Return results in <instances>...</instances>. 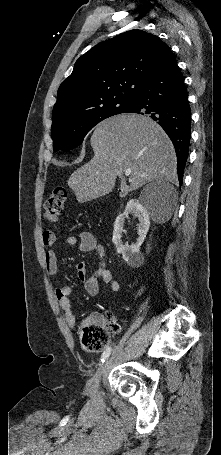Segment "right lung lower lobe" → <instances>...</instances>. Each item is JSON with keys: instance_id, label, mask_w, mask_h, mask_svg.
I'll return each mask as SVG.
<instances>
[{"instance_id": "1", "label": "right lung lower lobe", "mask_w": 221, "mask_h": 455, "mask_svg": "<svg viewBox=\"0 0 221 455\" xmlns=\"http://www.w3.org/2000/svg\"><path fill=\"white\" fill-rule=\"evenodd\" d=\"M124 113L147 115L164 129L175 148L181 184L189 155L191 109L182 74L171 51L139 87Z\"/></svg>"}]
</instances>
